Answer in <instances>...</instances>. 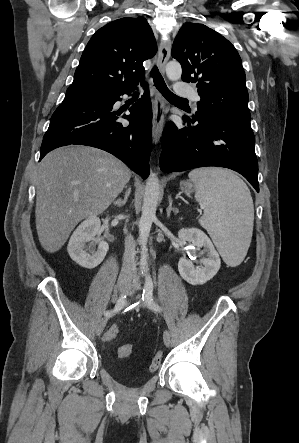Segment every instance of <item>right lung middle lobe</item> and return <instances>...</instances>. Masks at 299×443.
Listing matches in <instances>:
<instances>
[{"instance_id": "obj_1", "label": "right lung middle lobe", "mask_w": 299, "mask_h": 443, "mask_svg": "<svg viewBox=\"0 0 299 443\" xmlns=\"http://www.w3.org/2000/svg\"><path fill=\"white\" fill-rule=\"evenodd\" d=\"M65 98L93 99L105 101L108 99V93L89 88L69 87L67 89Z\"/></svg>"}]
</instances>
